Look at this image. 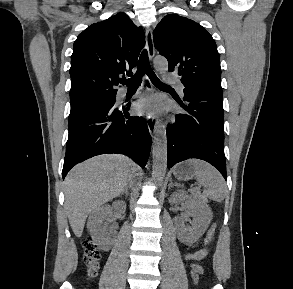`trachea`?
Masks as SVG:
<instances>
[{"mask_svg": "<svg viewBox=\"0 0 293 289\" xmlns=\"http://www.w3.org/2000/svg\"><path fill=\"white\" fill-rule=\"evenodd\" d=\"M145 73L149 76L151 82L155 86H167V84H164L163 82H161L158 79V77L155 75V73L153 72L149 63L148 53L146 50H143L140 55L139 62H138V69L136 73L130 79L128 80L123 79L120 82L122 84H125L127 87L139 86L142 82V77L145 75Z\"/></svg>", "mask_w": 293, "mask_h": 289, "instance_id": "trachea-1", "label": "trachea"}]
</instances>
